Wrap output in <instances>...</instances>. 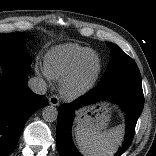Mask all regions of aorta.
Listing matches in <instances>:
<instances>
[{
	"label": "aorta",
	"instance_id": "1",
	"mask_svg": "<svg viewBox=\"0 0 156 156\" xmlns=\"http://www.w3.org/2000/svg\"><path fill=\"white\" fill-rule=\"evenodd\" d=\"M42 117L46 122H54L58 117V110L54 106H46L42 111Z\"/></svg>",
	"mask_w": 156,
	"mask_h": 156
}]
</instances>
